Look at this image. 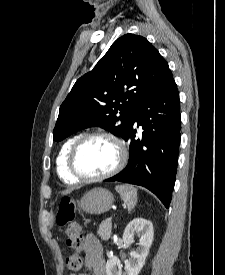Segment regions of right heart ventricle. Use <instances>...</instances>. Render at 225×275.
<instances>
[{"instance_id": "1", "label": "right heart ventricle", "mask_w": 225, "mask_h": 275, "mask_svg": "<svg viewBox=\"0 0 225 275\" xmlns=\"http://www.w3.org/2000/svg\"><path fill=\"white\" fill-rule=\"evenodd\" d=\"M79 136H73L69 138L65 143L61 146L58 156L56 158V170L59 178L65 183H75L76 180L69 172L67 167V157L70 151L71 146L76 141Z\"/></svg>"}]
</instances>
